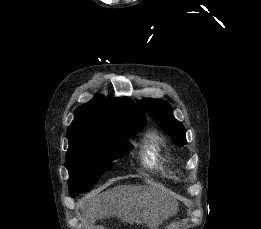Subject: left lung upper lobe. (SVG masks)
Wrapping results in <instances>:
<instances>
[{"label": "left lung upper lobe", "mask_w": 261, "mask_h": 229, "mask_svg": "<svg viewBox=\"0 0 261 229\" xmlns=\"http://www.w3.org/2000/svg\"><path fill=\"white\" fill-rule=\"evenodd\" d=\"M137 103L146 113L154 118L160 128L171 137L175 145L183 146L187 144L185 128L182 123L173 116V110L169 103L152 98L137 100Z\"/></svg>", "instance_id": "left-lung-upper-lobe-1"}]
</instances>
